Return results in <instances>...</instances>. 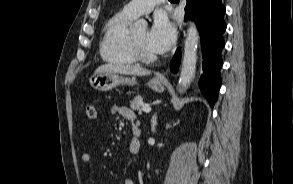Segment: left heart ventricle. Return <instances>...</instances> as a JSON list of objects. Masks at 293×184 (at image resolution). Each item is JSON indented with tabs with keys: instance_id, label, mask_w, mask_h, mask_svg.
Returning a JSON list of instances; mask_svg holds the SVG:
<instances>
[{
	"instance_id": "left-heart-ventricle-1",
	"label": "left heart ventricle",
	"mask_w": 293,
	"mask_h": 184,
	"mask_svg": "<svg viewBox=\"0 0 293 184\" xmlns=\"http://www.w3.org/2000/svg\"><path fill=\"white\" fill-rule=\"evenodd\" d=\"M133 36L145 54L155 55V53L147 45V42H146L147 31L145 29H142L134 33Z\"/></svg>"
}]
</instances>
